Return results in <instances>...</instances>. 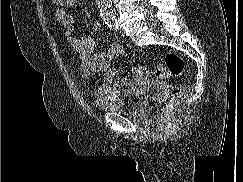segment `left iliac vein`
Wrapping results in <instances>:
<instances>
[{"label": "left iliac vein", "instance_id": "1", "mask_svg": "<svg viewBox=\"0 0 243 182\" xmlns=\"http://www.w3.org/2000/svg\"><path fill=\"white\" fill-rule=\"evenodd\" d=\"M120 34L121 36L125 37L126 36V32L123 28H120Z\"/></svg>", "mask_w": 243, "mask_h": 182}]
</instances>
